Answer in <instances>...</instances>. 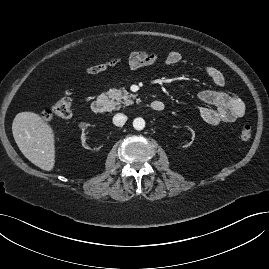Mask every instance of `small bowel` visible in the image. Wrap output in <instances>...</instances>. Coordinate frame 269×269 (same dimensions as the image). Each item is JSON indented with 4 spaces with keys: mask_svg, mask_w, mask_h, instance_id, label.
<instances>
[{
    "mask_svg": "<svg viewBox=\"0 0 269 269\" xmlns=\"http://www.w3.org/2000/svg\"><path fill=\"white\" fill-rule=\"evenodd\" d=\"M159 59V55L153 51H134L127 56L126 63L131 69H139L153 65ZM181 60V54L176 51H172L166 56V64L169 66L177 65ZM122 62L120 58H113L86 68L85 73L88 75L100 74ZM205 72L215 85L221 87L225 84L224 74L218 68L206 66ZM197 98L205 104L200 110V118L209 125L233 123L242 118L246 111V105L241 98L223 91L203 90L198 93Z\"/></svg>",
    "mask_w": 269,
    "mask_h": 269,
    "instance_id": "c3829d8e",
    "label": "small bowel"
}]
</instances>
